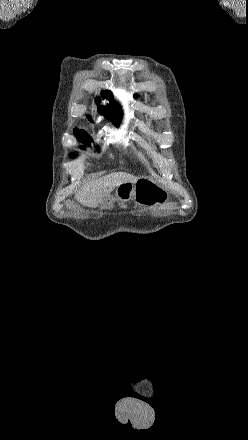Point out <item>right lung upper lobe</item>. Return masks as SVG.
Instances as JSON below:
<instances>
[{"instance_id":"right-lung-upper-lobe-1","label":"right lung upper lobe","mask_w":248,"mask_h":440,"mask_svg":"<svg viewBox=\"0 0 248 440\" xmlns=\"http://www.w3.org/2000/svg\"><path fill=\"white\" fill-rule=\"evenodd\" d=\"M102 97L106 99H112V94L110 91H105L102 93ZM98 109L100 113L106 115L107 118L109 117L116 126L119 125L122 114L118 105H114L112 103V105H108L106 107L98 106ZM88 119L92 122L91 117H88ZM74 134L81 143L84 142L87 136H89L84 130L78 129H74Z\"/></svg>"}]
</instances>
